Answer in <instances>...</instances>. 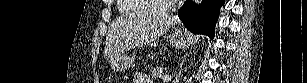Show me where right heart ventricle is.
<instances>
[{"label":"right heart ventricle","mask_w":307,"mask_h":83,"mask_svg":"<svg viewBox=\"0 0 307 83\" xmlns=\"http://www.w3.org/2000/svg\"><path fill=\"white\" fill-rule=\"evenodd\" d=\"M151 5L148 0H119L118 9L122 14L134 15L150 11Z\"/></svg>","instance_id":"1"}]
</instances>
